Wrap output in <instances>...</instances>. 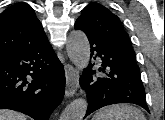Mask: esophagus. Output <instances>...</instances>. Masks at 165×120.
<instances>
[{
  "instance_id": "esophagus-1",
  "label": "esophagus",
  "mask_w": 165,
  "mask_h": 120,
  "mask_svg": "<svg viewBox=\"0 0 165 120\" xmlns=\"http://www.w3.org/2000/svg\"><path fill=\"white\" fill-rule=\"evenodd\" d=\"M66 76V96L72 97L79 86V72L72 65L67 64L65 66Z\"/></svg>"
}]
</instances>
